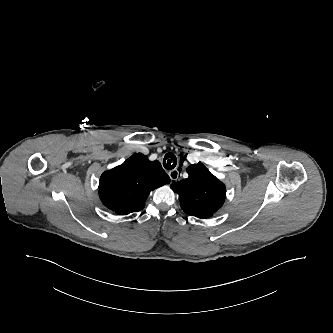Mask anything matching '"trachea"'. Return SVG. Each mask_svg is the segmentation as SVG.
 Here are the masks:
<instances>
[{
    "mask_svg": "<svg viewBox=\"0 0 333 333\" xmlns=\"http://www.w3.org/2000/svg\"><path fill=\"white\" fill-rule=\"evenodd\" d=\"M177 165V158L173 153H167L163 159V166L167 170H172Z\"/></svg>",
    "mask_w": 333,
    "mask_h": 333,
    "instance_id": "trachea-1",
    "label": "trachea"
}]
</instances>
